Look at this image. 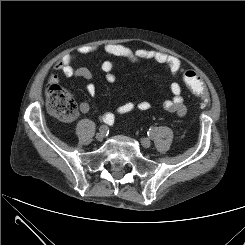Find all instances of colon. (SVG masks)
I'll use <instances>...</instances> for the list:
<instances>
[{
  "mask_svg": "<svg viewBox=\"0 0 245 245\" xmlns=\"http://www.w3.org/2000/svg\"><path fill=\"white\" fill-rule=\"evenodd\" d=\"M183 80L206 105L208 90L201 76L193 70H186L183 72ZM47 107L51 114L63 121H72L78 115V106L71 94L57 84H51L47 89Z\"/></svg>",
  "mask_w": 245,
  "mask_h": 245,
  "instance_id": "5ec220e1",
  "label": "colon"
}]
</instances>
